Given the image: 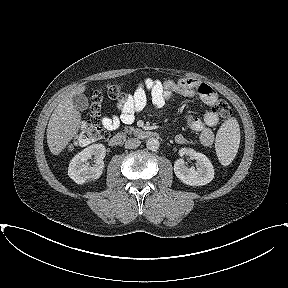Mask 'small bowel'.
<instances>
[{
  "mask_svg": "<svg viewBox=\"0 0 288 288\" xmlns=\"http://www.w3.org/2000/svg\"><path fill=\"white\" fill-rule=\"evenodd\" d=\"M175 94L184 97H199L202 102L209 106L210 109L204 113L202 118L187 115L186 121L190 129L199 133V142L202 145H212L214 141L212 128L220 120L218 113L214 109L218 97L208 84L192 78L168 79L164 81L146 78L137 85L133 94L118 102L117 109L119 114L111 118H104L103 124L109 130H115L121 124H131L135 120V116L149 104L155 108H161ZM175 141L180 145H185L189 142L188 138L183 134L176 135Z\"/></svg>",
  "mask_w": 288,
  "mask_h": 288,
  "instance_id": "1",
  "label": "small bowel"
}]
</instances>
